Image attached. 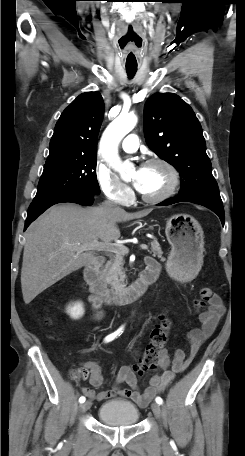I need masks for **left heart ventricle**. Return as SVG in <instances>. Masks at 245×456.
Listing matches in <instances>:
<instances>
[{
  "instance_id": "1",
  "label": "left heart ventricle",
  "mask_w": 245,
  "mask_h": 456,
  "mask_svg": "<svg viewBox=\"0 0 245 456\" xmlns=\"http://www.w3.org/2000/svg\"><path fill=\"white\" fill-rule=\"evenodd\" d=\"M133 179L140 181L139 191L148 196H156L164 192L171 182L168 170L162 165H151L135 170Z\"/></svg>"
}]
</instances>
